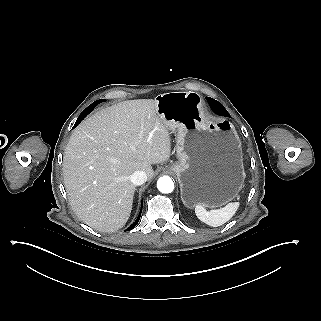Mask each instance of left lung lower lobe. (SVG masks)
I'll list each match as a JSON object with an SVG mask.
<instances>
[{"mask_svg": "<svg viewBox=\"0 0 321 321\" xmlns=\"http://www.w3.org/2000/svg\"><path fill=\"white\" fill-rule=\"evenodd\" d=\"M207 99H209V98H207ZM207 101H208V100H207ZM208 102H209L210 106L212 107V109H213L216 113L221 114L220 111L218 110V108L215 106L214 103H212L211 101H208Z\"/></svg>", "mask_w": 321, "mask_h": 321, "instance_id": "obj_1", "label": "left lung lower lobe"}]
</instances>
